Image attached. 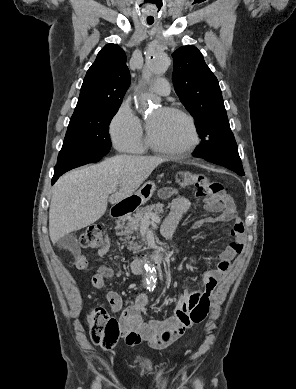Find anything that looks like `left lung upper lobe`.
I'll list each match as a JSON object with an SVG mask.
<instances>
[{
  "label": "left lung upper lobe",
  "instance_id": "left-lung-upper-lobe-1",
  "mask_svg": "<svg viewBox=\"0 0 296 389\" xmlns=\"http://www.w3.org/2000/svg\"><path fill=\"white\" fill-rule=\"evenodd\" d=\"M173 84L183 105L196 120L200 138L227 122L219 83L194 46L180 47L173 54Z\"/></svg>",
  "mask_w": 296,
  "mask_h": 389
}]
</instances>
